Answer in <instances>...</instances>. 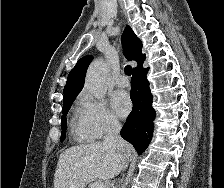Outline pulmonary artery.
<instances>
[{
	"mask_svg": "<svg viewBox=\"0 0 224 188\" xmlns=\"http://www.w3.org/2000/svg\"><path fill=\"white\" fill-rule=\"evenodd\" d=\"M115 85L117 87H121V88L127 87L129 85L128 78L126 76H124V75L118 76L115 79Z\"/></svg>",
	"mask_w": 224,
	"mask_h": 188,
	"instance_id": "e3ab8cb5",
	"label": "pulmonary artery"
}]
</instances>
